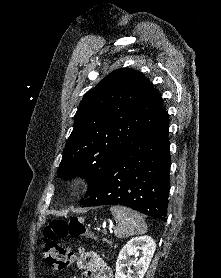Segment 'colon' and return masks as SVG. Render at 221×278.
<instances>
[{"instance_id": "colon-1", "label": "colon", "mask_w": 221, "mask_h": 278, "mask_svg": "<svg viewBox=\"0 0 221 278\" xmlns=\"http://www.w3.org/2000/svg\"><path fill=\"white\" fill-rule=\"evenodd\" d=\"M67 237L95 239L79 217L53 219L43 230L42 244L45 262L56 270L67 269L74 258V251L59 242Z\"/></svg>"}]
</instances>
